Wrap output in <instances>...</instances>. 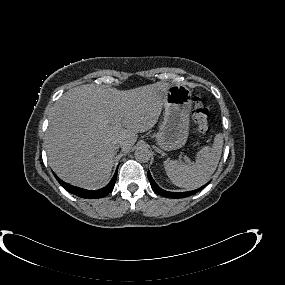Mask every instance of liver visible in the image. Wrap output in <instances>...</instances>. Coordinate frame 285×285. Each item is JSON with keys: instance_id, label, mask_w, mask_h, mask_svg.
Masks as SVG:
<instances>
[{"instance_id": "1", "label": "liver", "mask_w": 285, "mask_h": 285, "mask_svg": "<svg viewBox=\"0 0 285 285\" xmlns=\"http://www.w3.org/2000/svg\"><path fill=\"white\" fill-rule=\"evenodd\" d=\"M169 83L120 91L94 84L75 87L54 104L45 134L48 163L62 180L87 189L110 178L115 144L129 151L157 123Z\"/></svg>"}]
</instances>
